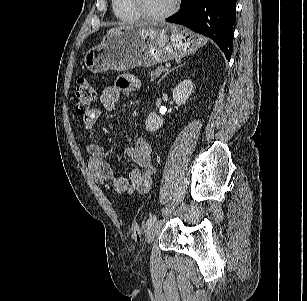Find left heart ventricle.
<instances>
[{
    "mask_svg": "<svg viewBox=\"0 0 307 301\" xmlns=\"http://www.w3.org/2000/svg\"><path fill=\"white\" fill-rule=\"evenodd\" d=\"M173 0H140L141 7L144 11L151 14H159L167 11Z\"/></svg>",
    "mask_w": 307,
    "mask_h": 301,
    "instance_id": "1",
    "label": "left heart ventricle"
}]
</instances>
